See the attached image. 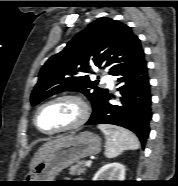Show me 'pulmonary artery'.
<instances>
[{
	"instance_id": "1",
	"label": "pulmonary artery",
	"mask_w": 178,
	"mask_h": 186,
	"mask_svg": "<svg viewBox=\"0 0 178 186\" xmlns=\"http://www.w3.org/2000/svg\"><path fill=\"white\" fill-rule=\"evenodd\" d=\"M107 79V78H106ZM108 86L113 87V82L111 80H108Z\"/></svg>"
}]
</instances>
